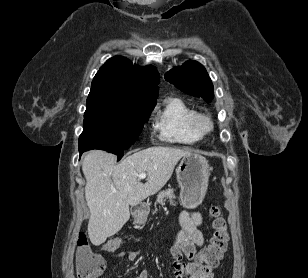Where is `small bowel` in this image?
<instances>
[{"instance_id": "obj_1", "label": "small bowel", "mask_w": 308, "mask_h": 278, "mask_svg": "<svg viewBox=\"0 0 308 278\" xmlns=\"http://www.w3.org/2000/svg\"><path fill=\"white\" fill-rule=\"evenodd\" d=\"M179 220L182 230L177 234L170 249L174 259L172 278H213L211 268L195 261L197 249L204 244V236L200 230L203 223L201 214L196 211L184 210L180 213ZM109 254L117 258L135 261L142 255V251L140 249H118L115 253ZM184 258H187L189 262H184ZM134 278H148V272L141 270Z\"/></svg>"}]
</instances>
